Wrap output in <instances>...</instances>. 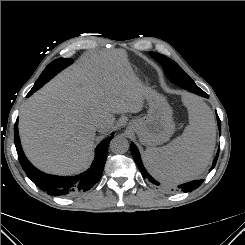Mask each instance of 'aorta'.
<instances>
[{
	"label": "aorta",
	"mask_w": 245,
	"mask_h": 245,
	"mask_svg": "<svg viewBox=\"0 0 245 245\" xmlns=\"http://www.w3.org/2000/svg\"><path fill=\"white\" fill-rule=\"evenodd\" d=\"M110 149L113 153L123 154L129 149V142L123 136H115L110 143Z\"/></svg>",
	"instance_id": "aorta-1"
}]
</instances>
